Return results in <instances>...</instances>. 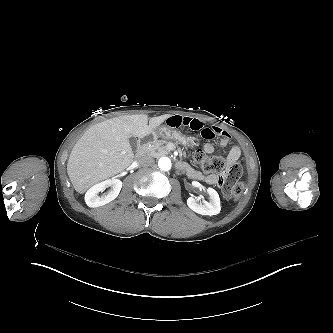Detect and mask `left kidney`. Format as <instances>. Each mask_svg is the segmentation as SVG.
Listing matches in <instances>:
<instances>
[{"label":"left kidney","mask_w":333,"mask_h":333,"mask_svg":"<svg viewBox=\"0 0 333 333\" xmlns=\"http://www.w3.org/2000/svg\"><path fill=\"white\" fill-rule=\"evenodd\" d=\"M207 193L210 196V201H203V203H197L193 197L187 199L188 207L194 212L201 215H217L220 210V198L216 190L213 188H208Z\"/></svg>","instance_id":"left-kidney-1"}]
</instances>
